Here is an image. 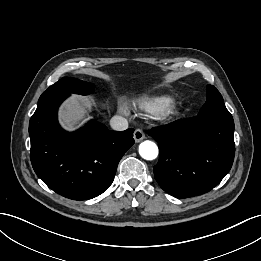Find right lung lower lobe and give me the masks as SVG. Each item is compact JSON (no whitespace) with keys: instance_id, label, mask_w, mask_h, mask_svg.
I'll use <instances>...</instances> for the list:
<instances>
[{"instance_id":"98d812e1","label":"right lung lower lobe","mask_w":261,"mask_h":261,"mask_svg":"<svg viewBox=\"0 0 261 261\" xmlns=\"http://www.w3.org/2000/svg\"><path fill=\"white\" fill-rule=\"evenodd\" d=\"M69 95L45 91L40 96L29 122L31 163L38 177L56 193L87 200L111 185L121 157L134 144V130L109 131L92 121L76 132L64 131L57 110Z\"/></svg>"}]
</instances>
